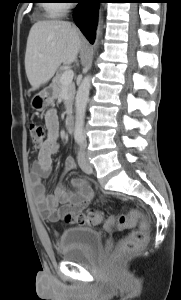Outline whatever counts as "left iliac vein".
<instances>
[{
    "label": "left iliac vein",
    "mask_w": 181,
    "mask_h": 300,
    "mask_svg": "<svg viewBox=\"0 0 181 300\" xmlns=\"http://www.w3.org/2000/svg\"><path fill=\"white\" fill-rule=\"evenodd\" d=\"M78 163L82 171L86 174H92L93 173V167L90 164V162L87 159L86 152L82 148L78 154Z\"/></svg>",
    "instance_id": "obj_1"
}]
</instances>
